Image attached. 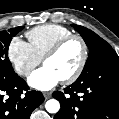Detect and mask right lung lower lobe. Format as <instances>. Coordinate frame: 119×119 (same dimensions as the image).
I'll use <instances>...</instances> for the list:
<instances>
[{"mask_svg": "<svg viewBox=\"0 0 119 119\" xmlns=\"http://www.w3.org/2000/svg\"><path fill=\"white\" fill-rule=\"evenodd\" d=\"M43 101L42 93L29 90L16 73L0 75V119H29Z\"/></svg>", "mask_w": 119, "mask_h": 119, "instance_id": "right-lung-lower-lobe-1", "label": "right lung lower lobe"}]
</instances>
